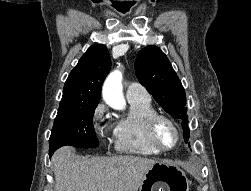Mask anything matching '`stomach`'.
Here are the masks:
<instances>
[{
	"instance_id": "stomach-1",
	"label": "stomach",
	"mask_w": 251,
	"mask_h": 191,
	"mask_svg": "<svg viewBox=\"0 0 251 191\" xmlns=\"http://www.w3.org/2000/svg\"><path fill=\"white\" fill-rule=\"evenodd\" d=\"M189 191V181L182 169L171 163L157 161L143 175L139 191Z\"/></svg>"
}]
</instances>
